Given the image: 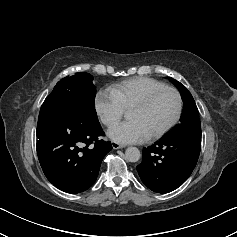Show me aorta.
<instances>
[{
  "label": "aorta",
  "mask_w": 237,
  "mask_h": 237,
  "mask_svg": "<svg viewBox=\"0 0 237 237\" xmlns=\"http://www.w3.org/2000/svg\"><path fill=\"white\" fill-rule=\"evenodd\" d=\"M141 157V153L137 147H128L125 151V159L129 162H137Z\"/></svg>",
  "instance_id": "obj_1"
}]
</instances>
